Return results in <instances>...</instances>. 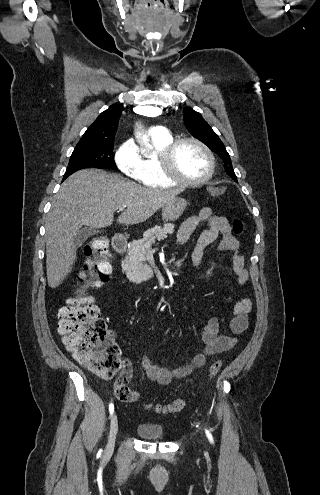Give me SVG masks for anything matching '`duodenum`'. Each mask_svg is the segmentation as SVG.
Returning <instances> with one entry per match:
<instances>
[{
	"label": "duodenum",
	"instance_id": "410a0bca",
	"mask_svg": "<svg viewBox=\"0 0 320 495\" xmlns=\"http://www.w3.org/2000/svg\"><path fill=\"white\" fill-rule=\"evenodd\" d=\"M113 248L117 253H124L127 247L125 238L121 234H115L113 237Z\"/></svg>",
	"mask_w": 320,
	"mask_h": 495
}]
</instances>
